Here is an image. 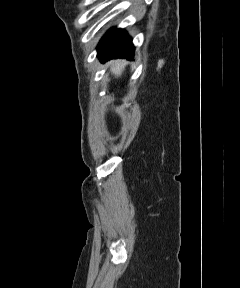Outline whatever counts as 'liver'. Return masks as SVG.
<instances>
[{
	"label": "liver",
	"mask_w": 240,
	"mask_h": 288,
	"mask_svg": "<svg viewBox=\"0 0 240 288\" xmlns=\"http://www.w3.org/2000/svg\"><path fill=\"white\" fill-rule=\"evenodd\" d=\"M127 62L122 60L112 61L110 62L111 71L117 76H121L122 72L125 69Z\"/></svg>",
	"instance_id": "liver-1"
}]
</instances>
